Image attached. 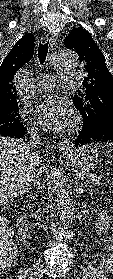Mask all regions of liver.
<instances>
[{
  "mask_svg": "<svg viewBox=\"0 0 113 279\" xmlns=\"http://www.w3.org/2000/svg\"><path fill=\"white\" fill-rule=\"evenodd\" d=\"M39 162L25 141L0 136V206L28 192Z\"/></svg>",
  "mask_w": 113,
  "mask_h": 279,
  "instance_id": "obj_1",
  "label": "liver"
}]
</instances>
